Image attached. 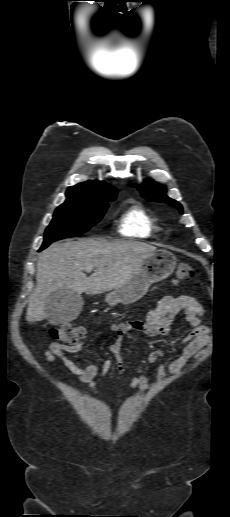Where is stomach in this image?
I'll list each match as a JSON object with an SVG mask.
<instances>
[{
    "instance_id": "0dacf381",
    "label": "stomach",
    "mask_w": 230,
    "mask_h": 517,
    "mask_svg": "<svg viewBox=\"0 0 230 517\" xmlns=\"http://www.w3.org/2000/svg\"><path fill=\"white\" fill-rule=\"evenodd\" d=\"M176 257L169 251L157 250L144 260L142 265L130 276L128 281L109 292L105 300L110 306L118 303H135L148 291L152 283L161 281L173 273Z\"/></svg>"
}]
</instances>
